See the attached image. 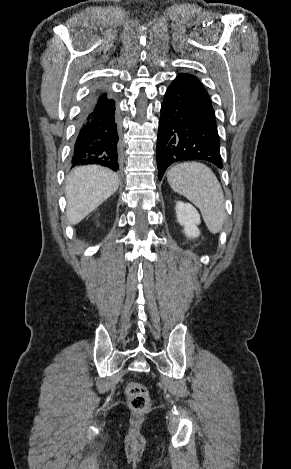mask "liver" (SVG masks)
I'll use <instances>...</instances> for the list:
<instances>
[{"label": "liver", "instance_id": "obj_1", "mask_svg": "<svg viewBox=\"0 0 291 469\" xmlns=\"http://www.w3.org/2000/svg\"><path fill=\"white\" fill-rule=\"evenodd\" d=\"M119 186L117 175L99 166L77 168L66 179L67 218L78 224L100 206Z\"/></svg>", "mask_w": 291, "mask_h": 469}]
</instances>
